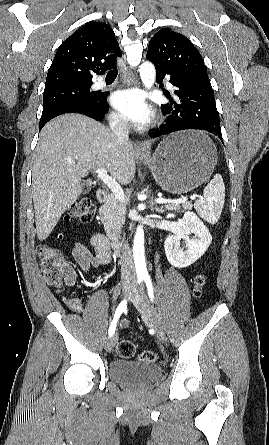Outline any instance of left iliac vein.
<instances>
[{"mask_svg":"<svg viewBox=\"0 0 269 445\" xmlns=\"http://www.w3.org/2000/svg\"><path fill=\"white\" fill-rule=\"evenodd\" d=\"M131 302L139 310L144 322L154 328L157 338L165 340V330L161 318L150 303L143 286L139 287L131 296Z\"/></svg>","mask_w":269,"mask_h":445,"instance_id":"4c4485c4","label":"left iliac vein"}]
</instances>
